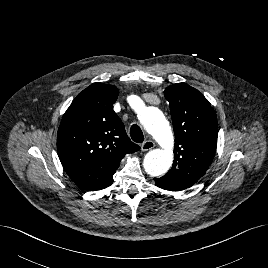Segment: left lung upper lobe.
Masks as SVG:
<instances>
[{
    "label": "left lung upper lobe",
    "mask_w": 268,
    "mask_h": 268,
    "mask_svg": "<svg viewBox=\"0 0 268 268\" xmlns=\"http://www.w3.org/2000/svg\"><path fill=\"white\" fill-rule=\"evenodd\" d=\"M175 134L174 162L156 186L179 191L195 184L210 166L217 147L218 124L209 101L186 83L167 87Z\"/></svg>",
    "instance_id": "5c2ea615"
}]
</instances>
